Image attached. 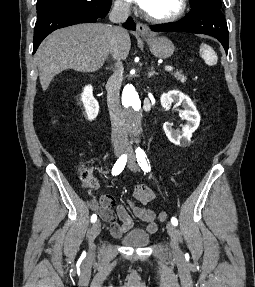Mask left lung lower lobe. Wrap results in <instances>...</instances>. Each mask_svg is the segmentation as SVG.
Listing matches in <instances>:
<instances>
[{
    "instance_id": "left-lung-lower-lobe-1",
    "label": "left lung lower lobe",
    "mask_w": 255,
    "mask_h": 287,
    "mask_svg": "<svg viewBox=\"0 0 255 287\" xmlns=\"http://www.w3.org/2000/svg\"><path fill=\"white\" fill-rule=\"evenodd\" d=\"M155 32L181 31L211 35L217 38L228 52V28L220 9L209 5L192 7L189 14L175 23L150 26Z\"/></svg>"
}]
</instances>
